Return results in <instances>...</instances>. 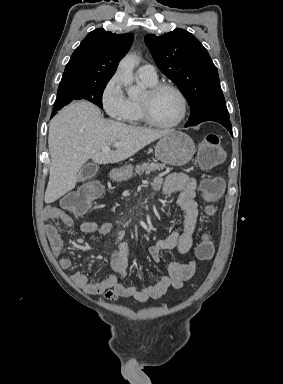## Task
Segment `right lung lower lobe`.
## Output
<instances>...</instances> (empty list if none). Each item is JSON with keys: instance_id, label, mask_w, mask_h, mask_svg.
<instances>
[{"instance_id": "1", "label": "right lung lower lobe", "mask_w": 283, "mask_h": 384, "mask_svg": "<svg viewBox=\"0 0 283 384\" xmlns=\"http://www.w3.org/2000/svg\"><path fill=\"white\" fill-rule=\"evenodd\" d=\"M54 111H57V109H54ZM55 112H52L51 118L55 115Z\"/></svg>"}]
</instances>
